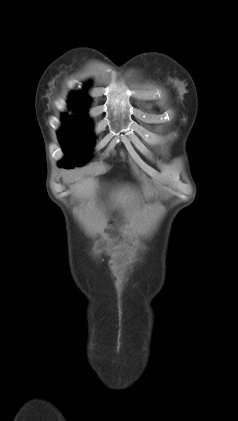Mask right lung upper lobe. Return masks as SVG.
Instances as JSON below:
<instances>
[{"instance_id":"cb5924a9","label":"right lung upper lobe","mask_w":238,"mask_h":421,"mask_svg":"<svg viewBox=\"0 0 238 421\" xmlns=\"http://www.w3.org/2000/svg\"><path fill=\"white\" fill-rule=\"evenodd\" d=\"M70 103L87 105L88 102H87V97L84 94L73 92L70 96Z\"/></svg>"}]
</instances>
